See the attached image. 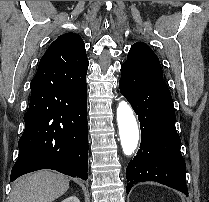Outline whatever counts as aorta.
Instances as JSON below:
<instances>
[{"instance_id":"1","label":"aorta","mask_w":209,"mask_h":202,"mask_svg":"<svg viewBox=\"0 0 209 202\" xmlns=\"http://www.w3.org/2000/svg\"><path fill=\"white\" fill-rule=\"evenodd\" d=\"M117 123L123 152L130 156L137 148L139 129L134 112L126 101H121L118 105Z\"/></svg>"}]
</instances>
